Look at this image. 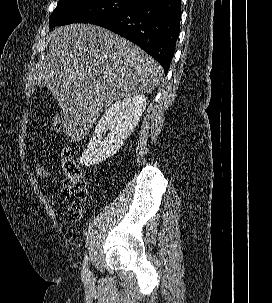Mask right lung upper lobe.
I'll return each instance as SVG.
<instances>
[{"instance_id": "right-lung-upper-lobe-1", "label": "right lung upper lobe", "mask_w": 272, "mask_h": 303, "mask_svg": "<svg viewBox=\"0 0 272 303\" xmlns=\"http://www.w3.org/2000/svg\"><path fill=\"white\" fill-rule=\"evenodd\" d=\"M135 1L138 3V2H140V1H142V0H135Z\"/></svg>"}]
</instances>
